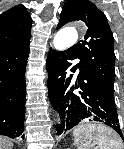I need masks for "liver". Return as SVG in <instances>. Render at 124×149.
<instances>
[{
	"label": "liver",
	"mask_w": 124,
	"mask_h": 149,
	"mask_svg": "<svg viewBox=\"0 0 124 149\" xmlns=\"http://www.w3.org/2000/svg\"><path fill=\"white\" fill-rule=\"evenodd\" d=\"M13 144L5 137L0 136V149H12Z\"/></svg>",
	"instance_id": "6515ba94"
}]
</instances>
